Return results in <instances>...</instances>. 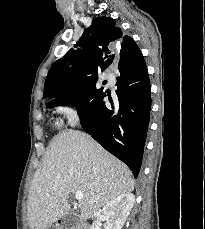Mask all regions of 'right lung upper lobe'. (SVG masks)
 <instances>
[{
    "label": "right lung upper lobe",
    "mask_w": 205,
    "mask_h": 229,
    "mask_svg": "<svg viewBox=\"0 0 205 229\" xmlns=\"http://www.w3.org/2000/svg\"><path fill=\"white\" fill-rule=\"evenodd\" d=\"M75 47L52 65L44 85V98L64 97L81 85L93 83L117 55L120 70L134 68L143 59L134 40L123 37L111 17L94 19Z\"/></svg>",
    "instance_id": "cb5924a9"
}]
</instances>
